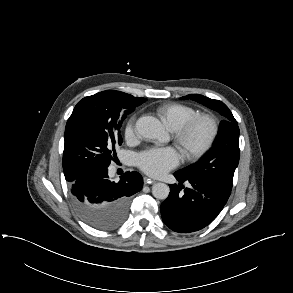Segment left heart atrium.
<instances>
[{
  "label": "left heart atrium",
  "mask_w": 293,
  "mask_h": 293,
  "mask_svg": "<svg viewBox=\"0 0 293 293\" xmlns=\"http://www.w3.org/2000/svg\"><path fill=\"white\" fill-rule=\"evenodd\" d=\"M180 155L174 147L151 148L137 157L138 166L148 175L160 177L178 165Z\"/></svg>",
  "instance_id": "obj_1"
}]
</instances>
